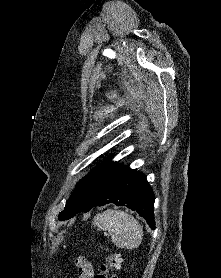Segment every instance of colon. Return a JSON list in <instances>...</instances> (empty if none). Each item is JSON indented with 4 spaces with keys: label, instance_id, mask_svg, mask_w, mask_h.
<instances>
[{
    "label": "colon",
    "instance_id": "obj_1",
    "mask_svg": "<svg viewBox=\"0 0 221 278\" xmlns=\"http://www.w3.org/2000/svg\"><path fill=\"white\" fill-rule=\"evenodd\" d=\"M80 278H117L115 271L120 268L121 256L119 253L109 251L105 261L95 272L93 266L86 262L83 257L74 259Z\"/></svg>",
    "mask_w": 221,
    "mask_h": 278
}]
</instances>
